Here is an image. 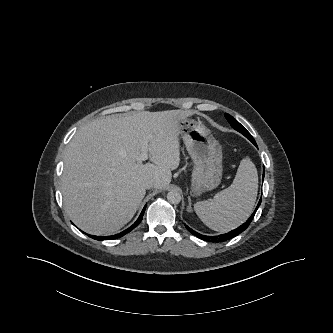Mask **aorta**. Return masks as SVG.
<instances>
[{
    "label": "aorta",
    "instance_id": "aorta-1",
    "mask_svg": "<svg viewBox=\"0 0 333 333\" xmlns=\"http://www.w3.org/2000/svg\"><path fill=\"white\" fill-rule=\"evenodd\" d=\"M167 200L171 203V204H179L181 201V195L178 191L176 190H171L170 192H168L167 194Z\"/></svg>",
    "mask_w": 333,
    "mask_h": 333
}]
</instances>
